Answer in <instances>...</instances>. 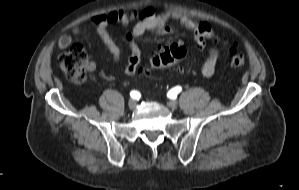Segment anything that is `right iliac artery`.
I'll use <instances>...</instances> for the list:
<instances>
[{
  "label": "right iliac artery",
  "mask_w": 299,
  "mask_h": 190,
  "mask_svg": "<svg viewBox=\"0 0 299 190\" xmlns=\"http://www.w3.org/2000/svg\"><path fill=\"white\" fill-rule=\"evenodd\" d=\"M130 96L133 99H137L138 100L140 98V93L138 91L133 90V91L130 92Z\"/></svg>",
  "instance_id": "right-iliac-artery-1"
}]
</instances>
